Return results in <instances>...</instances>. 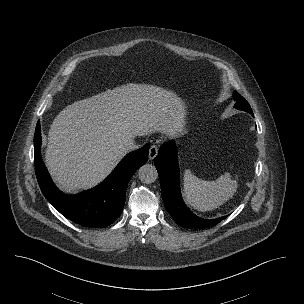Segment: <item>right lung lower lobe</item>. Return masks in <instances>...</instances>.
Returning a JSON list of instances; mask_svg holds the SVG:
<instances>
[{
  "instance_id": "obj_1",
  "label": "right lung lower lobe",
  "mask_w": 304,
  "mask_h": 304,
  "mask_svg": "<svg viewBox=\"0 0 304 304\" xmlns=\"http://www.w3.org/2000/svg\"><path fill=\"white\" fill-rule=\"evenodd\" d=\"M149 144L127 154L98 186L77 195H66L53 184L41 157V129L34 136V162L40 189L62 215L84 227H106L121 214L126 189L133 174L148 160Z\"/></svg>"
}]
</instances>
